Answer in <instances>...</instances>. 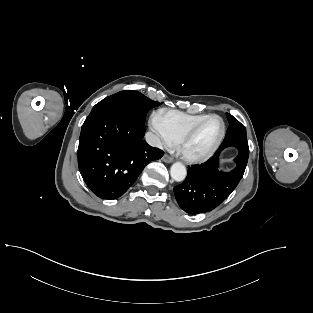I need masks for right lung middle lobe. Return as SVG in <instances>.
<instances>
[{"label": "right lung middle lobe", "mask_w": 313, "mask_h": 313, "mask_svg": "<svg viewBox=\"0 0 313 313\" xmlns=\"http://www.w3.org/2000/svg\"><path fill=\"white\" fill-rule=\"evenodd\" d=\"M159 102L152 101L143 94L133 90H125L108 96L97 103L89 116H94L103 111L120 112L138 124L144 125L147 112Z\"/></svg>", "instance_id": "dd1d6c3e"}]
</instances>
